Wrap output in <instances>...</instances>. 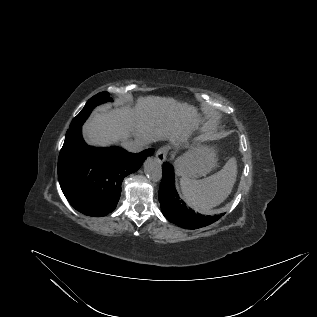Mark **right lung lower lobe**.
I'll return each instance as SVG.
<instances>
[{
    "instance_id": "1",
    "label": "right lung lower lobe",
    "mask_w": 317,
    "mask_h": 317,
    "mask_svg": "<svg viewBox=\"0 0 317 317\" xmlns=\"http://www.w3.org/2000/svg\"><path fill=\"white\" fill-rule=\"evenodd\" d=\"M147 149L138 154L120 147L88 146L81 126L65 138L58 159V179L67 200L79 212L105 216L118 203L125 176L135 172L153 154Z\"/></svg>"
}]
</instances>
